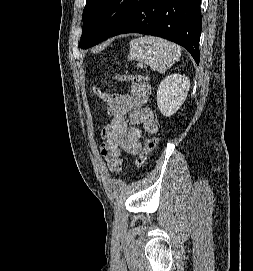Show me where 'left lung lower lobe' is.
<instances>
[{
  "label": "left lung lower lobe",
  "instance_id": "obj_1",
  "mask_svg": "<svg viewBox=\"0 0 253 271\" xmlns=\"http://www.w3.org/2000/svg\"><path fill=\"white\" fill-rule=\"evenodd\" d=\"M201 28L200 0H133L109 37L124 33L159 36L186 48L199 64Z\"/></svg>",
  "mask_w": 253,
  "mask_h": 271
}]
</instances>
